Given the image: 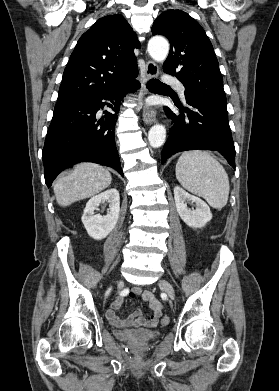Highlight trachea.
Listing matches in <instances>:
<instances>
[{
  "label": "trachea",
  "instance_id": "1",
  "mask_svg": "<svg viewBox=\"0 0 279 391\" xmlns=\"http://www.w3.org/2000/svg\"><path fill=\"white\" fill-rule=\"evenodd\" d=\"M146 86L149 90L170 89L168 85L156 79H150Z\"/></svg>",
  "mask_w": 279,
  "mask_h": 391
}]
</instances>
